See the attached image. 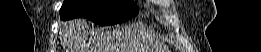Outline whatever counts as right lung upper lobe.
Here are the masks:
<instances>
[{
	"mask_svg": "<svg viewBox=\"0 0 261 52\" xmlns=\"http://www.w3.org/2000/svg\"><path fill=\"white\" fill-rule=\"evenodd\" d=\"M122 1H127V2L134 3V0H122Z\"/></svg>",
	"mask_w": 261,
	"mask_h": 52,
	"instance_id": "cb5924a9",
	"label": "right lung upper lobe"
}]
</instances>
